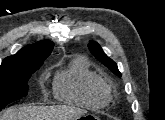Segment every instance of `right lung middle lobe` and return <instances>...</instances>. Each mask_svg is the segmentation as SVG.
Returning a JSON list of instances; mask_svg holds the SVG:
<instances>
[{
  "label": "right lung middle lobe",
  "mask_w": 165,
  "mask_h": 120,
  "mask_svg": "<svg viewBox=\"0 0 165 120\" xmlns=\"http://www.w3.org/2000/svg\"><path fill=\"white\" fill-rule=\"evenodd\" d=\"M42 64L43 61H31L0 66V111L27 95V82Z\"/></svg>",
  "instance_id": "1"
}]
</instances>
